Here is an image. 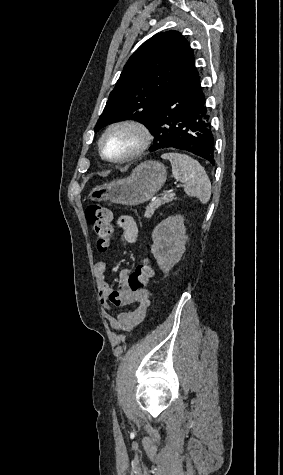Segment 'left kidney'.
I'll use <instances>...</instances> for the list:
<instances>
[{"instance_id":"obj_1","label":"left kidney","mask_w":283,"mask_h":475,"mask_svg":"<svg viewBox=\"0 0 283 475\" xmlns=\"http://www.w3.org/2000/svg\"><path fill=\"white\" fill-rule=\"evenodd\" d=\"M152 239L151 251L160 269L167 275L185 251L188 238L183 216H169L160 222L152 232Z\"/></svg>"}]
</instances>
